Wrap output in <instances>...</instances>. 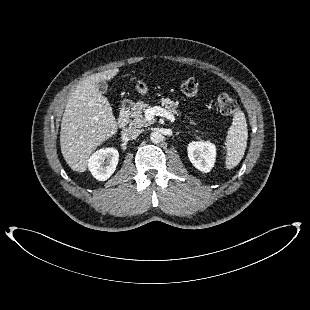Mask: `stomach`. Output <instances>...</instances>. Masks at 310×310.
<instances>
[{
  "mask_svg": "<svg viewBox=\"0 0 310 310\" xmlns=\"http://www.w3.org/2000/svg\"><path fill=\"white\" fill-rule=\"evenodd\" d=\"M135 89L141 95H146L148 93V85L143 80H137L136 81Z\"/></svg>",
  "mask_w": 310,
  "mask_h": 310,
  "instance_id": "1",
  "label": "stomach"
}]
</instances>
